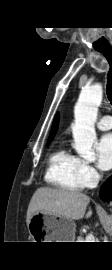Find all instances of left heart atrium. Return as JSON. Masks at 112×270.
Here are the masks:
<instances>
[{"instance_id":"39dd6f15","label":"left heart atrium","mask_w":112,"mask_h":270,"mask_svg":"<svg viewBox=\"0 0 112 270\" xmlns=\"http://www.w3.org/2000/svg\"><path fill=\"white\" fill-rule=\"evenodd\" d=\"M97 164L101 170L112 168V133L105 134L96 144Z\"/></svg>"}]
</instances>
